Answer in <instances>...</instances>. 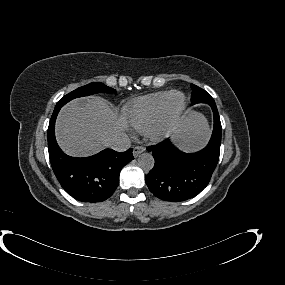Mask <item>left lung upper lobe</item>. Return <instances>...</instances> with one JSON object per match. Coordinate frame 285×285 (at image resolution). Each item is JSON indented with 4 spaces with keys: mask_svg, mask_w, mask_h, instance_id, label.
<instances>
[{
    "mask_svg": "<svg viewBox=\"0 0 285 285\" xmlns=\"http://www.w3.org/2000/svg\"><path fill=\"white\" fill-rule=\"evenodd\" d=\"M192 94H191V102L192 104L197 103H210L214 102L213 98L203 89L200 87L191 84Z\"/></svg>",
    "mask_w": 285,
    "mask_h": 285,
    "instance_id": "1",
    "label": "left lung upper lobe"
}]
</instances>
